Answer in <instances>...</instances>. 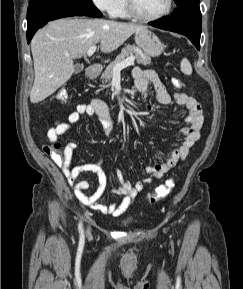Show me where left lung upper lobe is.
Returning a JSON list of instances; mask_svg holds the SVG:
<instances>
[{"instance_id": "obj_1", "label": "left lung upper lobe", "mask_w": 243, "mask_h": 289, "mask_svg": "<svg viewBox=\"0 0 243 289\" xmlns=\"http://www.w3.org/2000/svg\"><path fill=\"white\" fill-rule=\"evenodd\" d=\"M174 1L177 5H180V4L185 3V2H190V1L199 2V0H174Z\"/></svg>"}]
</instances>
